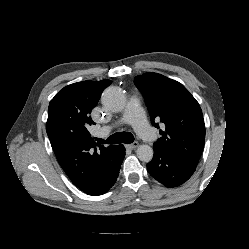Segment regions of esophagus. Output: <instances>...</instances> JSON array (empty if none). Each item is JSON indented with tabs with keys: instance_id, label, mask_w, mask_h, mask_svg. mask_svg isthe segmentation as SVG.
<instances>
[{
	"instance_id": "obj_1",
	"label": "esophagus",
	"mask_w": 249,
	"mask_h": 249,
	"mask_svg": "<svg viewBox=\"0 0 249 249\" xmlns=\"http://www.w3.org/2000/svg\"><path fill=\"white\" fill-rule=\"evenodd\" d=\"M138 146H139L138 142H134L132 144H125L126 149H131V150L137 148Z\"/></svg>"
}]
</instances>
